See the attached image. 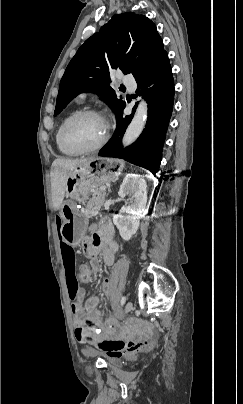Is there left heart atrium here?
Segmentation results:
<instances>
[{
  "label": "left heart atrium",
  "instance_id": "left-heart-atrium-1",
  "mask_svg": "<svg viewBox=\"0 0 243 404\" xmlns=\"http://www.w3.org/2000/svg\"><path fill=\"white\" fill-rule=\"evenodd\" d=\"M103 122H104V127H105V130H107L108 125H107V123H106V121H105V120H103Z\"/></svg>",
  "mask_w": 243,
  "mask_h": 404
}]
</instances>
